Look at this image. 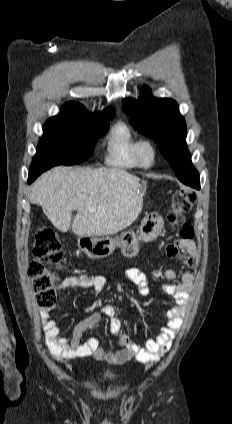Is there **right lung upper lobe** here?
<instances>
[{"instance_id":"obj_1","label":"right lung upper lobe","mask_w":232,"mask_h":424,"mask_svg":"<svg viewBox=\"0 0 232 424\" xmlns=\"http://www.w3.org/2000/svg\"><path fill=\"white\" fill-rule=\"evenodd\" d=\"M60 114L79 116V117L99 121L114 115L115 111L112 108H109L104 110L103 112H97L95 114H91L85 109V107L82 104L71 101L64 104Z\"/></svg>"}]
</instances>
